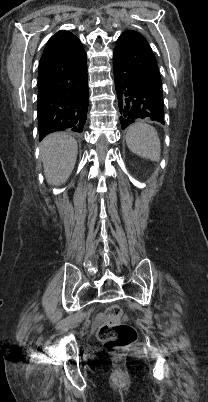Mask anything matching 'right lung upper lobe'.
<instances>
[{
    "instance_id": "obj_1",
    "label": "right lung upper lobe",
    "mask_w": 208,
    "mask_h": 402,
    "mask_svg": "<svg viewBox=\"0 0 208 402\" xmlns=\"http://www.w3.org/2000/svg\"><path fill=\"white\" fill-rule=\"evenodd\" d=\"M69 33H70V32H67V31H65V30H61V31L57 32L54 36H52V37L50 38L49 42L52 41V40H54V39H56V38H58V37H60V36H62V35H64V34H69Z\"/></svg>"
}]
</instances>
